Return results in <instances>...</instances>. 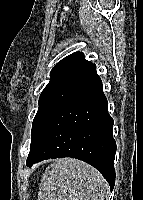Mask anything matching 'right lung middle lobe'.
<instances>
[{"label":"right lung middle lobe","instance_id":"dd1d6c3e","mask_svg":"<svg viewBox=\"0 0 143 200\" xmlns=\"http://www.w3.org/2000/svg\"><path fill=\"white\" fill-rule=\"evenodd\" d=\"M62 82L61 79H51L47 86L42 91L39 98V105L44 102V100L48 97V95Z\"/></svg>","mask_w":143,"mask_h":200}]
</instances>
